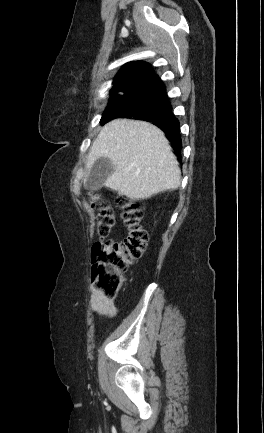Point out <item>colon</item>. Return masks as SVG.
<instances>
[{
    "label": "colon",
    "mask_w": 264,
    "mask_h": 433,
    "mask_svg": "<svg viewBox=\"0 0 264 433\" xmlns=\"http://www.w3.org/2000/svg\"><path fill=\"white\" fill-rule=\"evenodd\" d=\"M92 207L98 210L96 228L100 240L92 247V277L96 287L107 298H115L129 266L144 253L148 234L143 226V204L139 200L120 196L116 205L122 210L127 234L122 241L107 239L116 218L113 208L100 196L91 195Z\"/></svg>",
    "instance_id": "5ec220e1"
}]
</instances>
